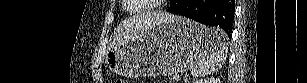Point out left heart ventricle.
<instances>
[{"label": "left heart ventricle", "mask_w": 307, "mask_h": 83, "mask_svg": "<svg viewBox=\"0 0 307 83\" xmlns=\"http://www.w3.org/2000/svg\"><path fill=\"white\" fill-rule=\"evenodd\" d=\"M142 1H143V0H142ZM132 3H135V2H132ZM136 3H138V1H137ZM140 3H141V2H140ZM142 3H143V2H142ZM144 6H146V5H144V4H143V5H141V4L138 5V4H137V5H131L130 7H131L132 10H140V9H141L142 7H144Z\"/></svg>", "instance_id": "1"}]
</instances>
